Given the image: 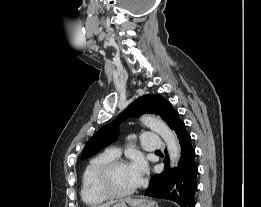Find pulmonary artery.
<instances>
[{
  "mask_svg": "<svg viewBox=\"0 0 261 207\" xmlns=\"http://www.w3.org/2000/svg\"><path fill=\"white\" fill-rule=\"evenodd\" d=\"M142 139V147L146 151H158L165 147V143L155 133L152 132H145L141 136ZM113 157H118L120 155V150L116 147L108 148L107 151Z\"/></svg>",
  "mask_w": 261,
  "mask_h": 207,
  "instance_id": "pulmonary-artery-1",
  "label": "pulmonary artery"
}]
</instances>
